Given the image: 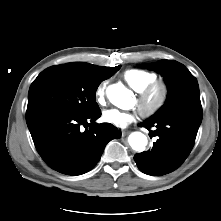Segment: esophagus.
Instances as JSON below:
<instances>
[{"label":"esophagus","mask_w":221,"mask_h":221,"mask_svg":"<svg viewBox=\"0 0 221 221\" xmlns=\"http://www.w3.org/2000/svg\"><path fill=\"white\" fill-rule=\"evenodd\" d=\"M129 134V131H127V130H123L122 131V137H125L126 135H128Z\"/></svg>","instance_id":"obj_1"}]
</instances>
